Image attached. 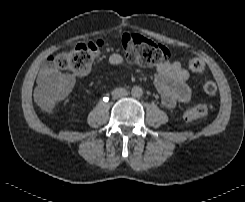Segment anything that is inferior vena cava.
Returning a JSON list of instances; mask_svg holds the SVG:
<instances>
[{
	"instance_id": "inferior-vena-cava-1",
	"label": "inferior vena cava",
	"mask_w": 245,
	"mask_h": 202,
	"mask_svg": "<svg viewBox=\"0 0 245 202\" xmlns=\"http://www.w3.org/2000/svg\"><path fill=\"white\" fill-rule=\"evenodd\" d=\"M129 92L125 88H116L112 91V96L114 99L125 97Z\"/></svg>"
}]
</instances>
